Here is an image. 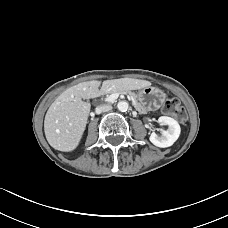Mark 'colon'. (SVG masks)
Returning a JSON list of instances; mask_svg holds the SVG:
<instances>
[{"mask_svg":"<svg viewBox=\"0 0 228 228\" xmlns=\"http://www.w3.org/2000/svg\"><path fill=\"white\" fill-rule=\"evenodd\" d=\"M163 112L167 115L174 116L180 121L185 120L186 114L181 106V103L176 98H169L163 103Z\"/></svg>","mask_w":228,"mask_h":228,"instance_id":"obj_1","label":"colon"}]
</instances>
